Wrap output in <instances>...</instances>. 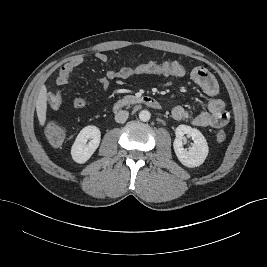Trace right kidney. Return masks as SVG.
Returning a JSON list of instances; mask_svg holds the SVG:
<instances>
[{
	"label": "right kidney",
	"mask_w": 267,
	"mask_h": 267,
	"mask_svg": "<svg viewBox=\"0 0 267 267\" xmlns=\"http://www.w3.org/2000/svg\"><path fill=\"white\" fill-rule=\"evenodd\" d=\"M101 132L93 125L84 127L77 135L71 148L72 159L79 164L85 163L100 144ZM88 140H90L88 142Z\"/></svg>",
	"instance_id": "ca27d5eb"
}]
</instances>
